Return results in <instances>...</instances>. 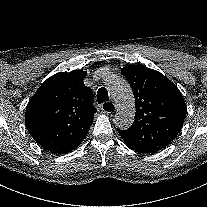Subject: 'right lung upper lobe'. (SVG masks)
Here are the masks:
<instances>
[{
    "label": "right lung upper lobe",
    "mask_w": 207,
    "mask_h": 207,
    "mask_svg": "<svg viewBox=\"0 0 207 207\" xmlns=\"http://www.w3.org/2000/svg\"><path fill=\"white\" fill-rule=\"evenodd\" d=\"M87 72L49 77L27 104L26 127L33 139L51 153L74 150L87 135L93 115V92L84 85Z\"/></svg>",
    "instance_id": "right-lung-upper-lobe-1"
}]
</instances>
